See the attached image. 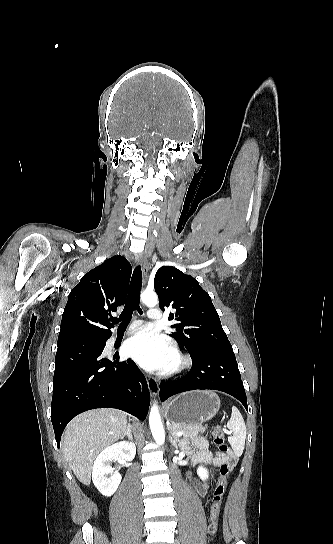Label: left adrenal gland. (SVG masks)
I'll return each mask as SVG.
<instances>
[{"label":"left adrenal gland","instance_id":"left-adrenal-gland-1","mask_svg":"<svg viewBox=\"0 0 333 544\" xmlns=\"http://www.w3.org/2000/svg\"><path fill=\"white\" fill-rule=\"evenodd\" d=\"M169 439H170V442L172 443V445L177 448L178 447V445H177L178 437L173 432H170Z\"/></svg>","mask_w":333,"mask_h":544}]
</instances>
